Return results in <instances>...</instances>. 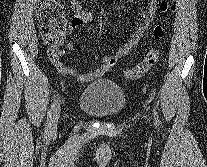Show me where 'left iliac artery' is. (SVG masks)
<instances>
[{"mask_svg":"<svg viewBox=\"0 0 207 167\" xmlns=\"http://www.w3.org/2000/svg\"><path fill=\"white\" fill-rule=\"evenodd\" d=\"M153 114H154L155 123L157 126H159L160 122H159L158 114H157L155 108H153Z\"/></svg>","mask_w":207,"mask_h":167,"instance_id":"1","label":"left iliac artery"}]
</instances>
